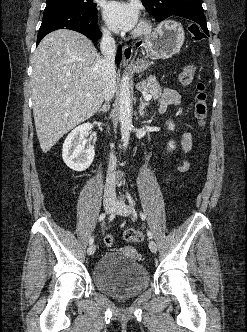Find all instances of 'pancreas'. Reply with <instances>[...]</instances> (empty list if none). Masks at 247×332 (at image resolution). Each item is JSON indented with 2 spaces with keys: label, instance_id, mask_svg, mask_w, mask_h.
<instances>
[{
  "label": "pancreas",
  "instance_id": "1",
  "mask_svg": "<svg viewBox=\"0 0 247 332\" xmlns=\"http://www.w3.org/2000/svg\"><path fill=\"white\" fill-rule=\"evenodd\" d=\"M137 88L141 91L144 95L150 94L154 100L159 99L160 97L164 96L162 93L161 87L156 81V78L151 76L146 80L137 84Z\"/></svg>",
  "mask_w": 247,
  "mask_h": 332
}]
</instances>
